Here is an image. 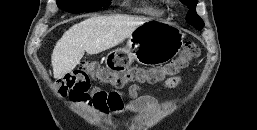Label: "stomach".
Instances as JSON below:
<instances>
[{
    "label": "stomach",
    "mask_w": 257,
    "mask_h": 130,
    "mask_svg": "<svg viewBox=\"0 0 257 130\" xmlns=\"http://www.w3.org/2000/svg\"><path fill=\"white\" fill-rule=\"evenodd\" d=\"M184 34L176 26L159 20H149L138 26L128 37L125 48L111 51L107 55L110 66H122L133 60L143 65L168 62L180 51Z\"/></svg>",
    "instance_id": "obj_1"
}]
</instances>
